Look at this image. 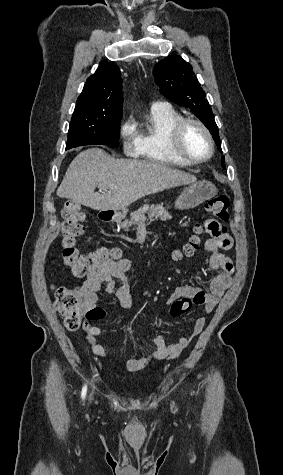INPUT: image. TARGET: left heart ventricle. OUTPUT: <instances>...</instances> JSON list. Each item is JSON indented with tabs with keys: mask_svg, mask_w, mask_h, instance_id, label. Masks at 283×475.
<instances>
[{
	"mask_svg": "<svg viewBox=\"0 0 283 475\" xmlns=\"http://www.w3.org/2000/svg\"><path fill=\"white\" fill-rule=\"evenodd\" d=\"M165 151L173 158H202L209 152V143L203 132L191 124L186 127L181 144L169 142L165 145Z\"/></svg>",
	"mask_w": 283,
	"mask_h": 475,
	"instance_id": "obj_1",
	"label": "left heart ventricle"
}]
</instances>
